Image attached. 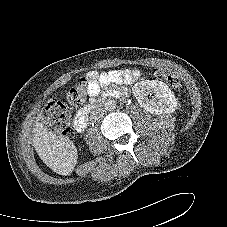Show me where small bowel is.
Returning a JSON list of instances; mask_svg holds the SVG:
<instances>
[{
  "mask_svg": "<svg viewBox=\"0 0 227 227\" xmlns=\"http://www.w3.org/2000/svg\"><path fill=\"white\" fill-rule=\"evenodd\" d=\"M139 76V72L132 70H113L103 73L90 71L86 74L88 80V94L90 96H95L102 85L110 83H130Z\"/></svg>",
  "mask_w": 227,
  "mask_h": 227,
  "instance_id": "1",
  "label": "small bowel"
}]
</instances>
